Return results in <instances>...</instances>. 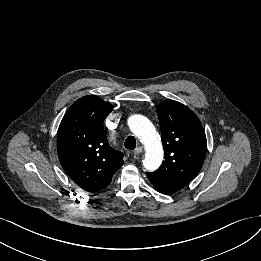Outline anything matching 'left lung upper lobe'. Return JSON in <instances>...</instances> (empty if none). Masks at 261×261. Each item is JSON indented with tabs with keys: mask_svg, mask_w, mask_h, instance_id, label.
<instances>
[{
	"mask_svg": "<svg viewBox=\"0 0 261 261\" xmlns=\"http://www.w3.org/2000/svg\"><path fill=\"white\" fill-rule=\"evenodd\" d=\"M164 161L155 172H147L155 189L172 194L184 188L200 171L207 150L204 129L188 107L174 100L156 106Z\"/></svg>",
	"mask_w": 261,
	"mask_h": 261,
	"instance_id": "obj_1",
	"label": "left lung upper lobe"
}]
</instances>
